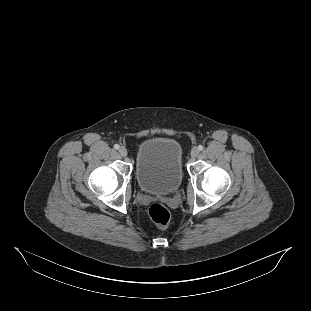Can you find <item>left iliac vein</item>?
I'll return each mask as SVG.
<instances>
[{"label": "left iliac vein", "instance_id": "4c4485c4", "mask_svg": "<svg viewBox=\"0 0 311 311\" xmlns=\"http://www.w3.org/2000/svg\"><path fill=\"white\" fill-rule=\"evenodd\" d=\"M198 154H199V149L197 147H193L191 150V156L195 158L198 156Z\"/></svg>", "mask_w": 311, "mask_h": 311}]
</instances>
